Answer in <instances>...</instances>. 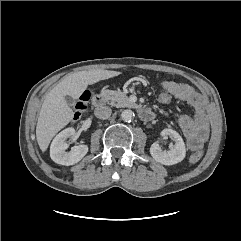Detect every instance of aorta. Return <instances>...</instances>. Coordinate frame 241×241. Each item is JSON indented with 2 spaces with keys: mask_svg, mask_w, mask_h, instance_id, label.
Returning <instances> with one entry per match:
<instances>
[{
  "mask_svg": "<svg viewBox=\"0 0 241 241\" xmlns=\"http://www.w3.org/2000/svg\"><path fill=\"white\" fill-rule=\"evenodd\" d=\"M121 118L125 122H131L134 119V112L130 109L122 111Z\"/></svg>",
  "mask_w": 241,
  "mask_h": 241,
  "instance_id": "obj_1",
  "label": "aorta"
}]
</instances>
